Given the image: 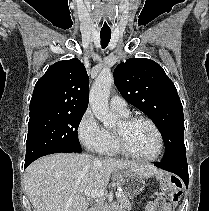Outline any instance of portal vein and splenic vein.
Returning a JSON list of instances; mask_svg holds the SVG:
<instances>
[{
  "label": "portal vein and splenic vein",
  "instance_id": "1",
  "mask_svg": "<svg viewBox=\"0 0 209 211\" xmlns=\"http://www.w3.org/2000/svg\"><path fill=\"white\" fill-rule=\"evenodd\" d=\"M85 196H89L91 198H101L104 197L105 195V190L104 189H93L92 187H87L84 190ZM116 197H120L121 193L116 192L115 193Z\"/></svg>",
  "mask_w": 209,
  "mask_h": 211
}]
</instances>
